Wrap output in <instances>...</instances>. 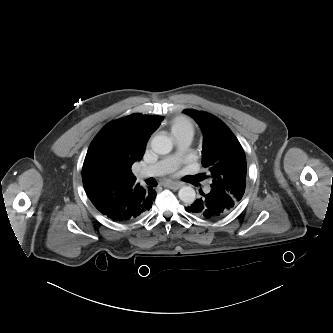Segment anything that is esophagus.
<instances>
[{
	"label": "esophagus",
	"instance_id": "obj_1",
	"mask_svg": "<svg viewBox=\"0 0 333 333\" xmlns=\"http://www.w3.org/2000/svg\"><path fill=\"white\" fill-rule=\"evenodd\" d=\"M164 185L165 187H168L173 190H177L182 186V184L179 182H166Z\"/></svg>",
	"mask_w": 333,
	"mask_h": 333
}]
</instances>
